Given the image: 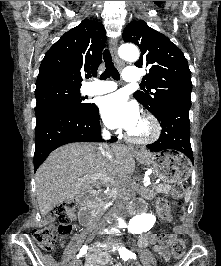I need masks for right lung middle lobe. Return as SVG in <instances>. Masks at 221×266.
<instances>
[{
    "label": "right lung middle lobe",
    "instance_id": "dd1d6c3e",
    "mask_svg": "<svg viewBox=\"0 0 221 266\" xmlns=\"http://www.w3.org/2000/svg\"><path fill=\"white\" fill-rule=\"evenodd\" d=\"M35 97L37 123L57 112L83 113L92 106L91 103L84 102L85 98L81 97L80 88L64 85L37 87Z\"/></svg>",
    "mask_w": 221,
    "mask_h": 266
}]
</instances>
